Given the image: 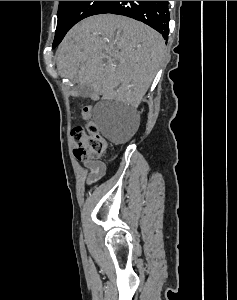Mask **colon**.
Instances as JSON below:
<instances>
[{"mask_svg": "<svg viewBox=\"0 0 237 300\" xmlns=\"http://www.w3.org/2000/svg\"><path fill=\"white\" fill-rule=\"evenodd\" d=\"M83 113L87 116L88 122L85 125L74 127L71 131L74 155L82 161L100 159L108 150V142L100 134L97 125L90 120L91 108L84 107Z\"/></svg>", "mask_w": 237, "mask_h": 300, "instance_id": "1", "label": "colon"}]
</instances>
